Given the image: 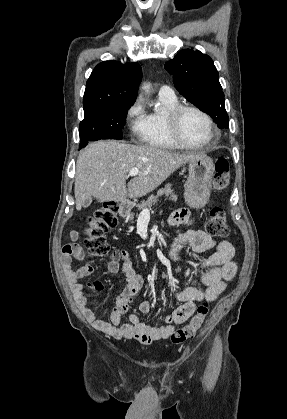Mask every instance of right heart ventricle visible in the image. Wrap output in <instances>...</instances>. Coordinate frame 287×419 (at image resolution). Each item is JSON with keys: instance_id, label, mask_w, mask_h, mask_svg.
Returning a JSON list of instances; mask_svg holds the SVG:
<instances>
[{"instance_id": "obj_1", "label": "right heart ventricle", "mask_w": 287, "mask_h": 419, "mask_svg": "<svg viewBox=\"0 0 287 419\" xmlns=\"http://www.w3.org/2000/svg\"><path fill=\"white\" fill-rule=\"evenodd\" d=\"M159 101L163 104L165 111L151 112L146 115L144 130L140 135L141 142L150 147L161 149L184 148L170 135L166 123L167 111L179 105L177 98L159 96Z\"/></svg>"}]
</instances>
